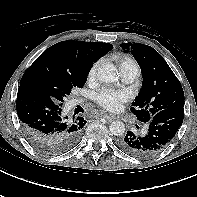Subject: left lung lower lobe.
<instances>
[{
    "mask_svg": "<svg viewBox=\"0 0 197 197\" xmlns=\"http://www.w3.org/2000/svg\"><path fill=\"white\" fill-rule=\"evenodd\" d=\"M184 107L169 108L156 113L149 122L144 135L128 131L121 137L118 146L127 154L137 157H151L162 151L175 137L182 125Z\"/></svg>",
    "mask_w": 197,
    "mask_h": 197,
    "instance_id": "1",
    "label": "left lung lower lobe"
}]
</instances>
